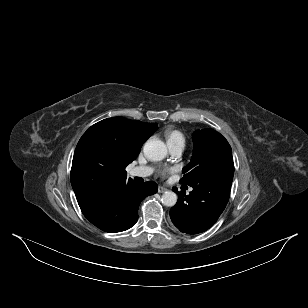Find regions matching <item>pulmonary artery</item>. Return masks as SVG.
<instances>
[{"mask_svg":"<svg viewBox=\"0 0 308 308\" xmlns=\"http://www.w3.org/2000/svg\"><path fill=\"white\" fill-rule=\"evenodd\" d=\"M169 151L172 156L178 157L181 155L184 146L181 144H170L168 145ZM153 168L150 166H137L131 169L130 174L134 177H147L151 175Z\"/></svg>","mask_w":308,"mask_h":308,"instance_id":"obj_1","label":"pulmonary artery"}]
</instances>
